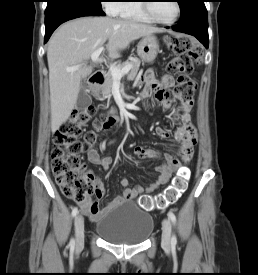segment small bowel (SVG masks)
I'll return each mask as SVG.
<instances>
[{
    "label": "small bowel",
    "mask_w": 258,
    "mask_h": 275,
    "mask_svg": "<svg viewBox=\"0 0 258 275\" xmlns=\"http://www.w3.org/2000/svg\"><path fill=\"white\" fill-rule=\"evenodd\" d=\"M144 83L145 85L141 92V96L146 98L153 90H157L158 94L162 95L166 89L173 86L174 79L170 75H164L161 81H158L154 70L150 69L144 74ZM158 99L164 108H169L170 102L165 97L161 96ZM192 104V100L184 102L180 105L176 112L175 117L178 118L181 123L176 129L175 139L180 144V147L175 156L171 154H164L161 157V163L155 168L158 173L156 180L145 188L140 185L131 188L129 187V181L123 178L121 180V185L124 187L122 195L114 197L103 209H100L98 204L93 202L91 199L78 202L82 212L92 220L100 219L106 212L114 207L125 202H131L139 195L153 192L168 183L172 177V174L180 166L181 162L190 157L196 144V132L190 116ZM156 132L161 137H166L168 135L167 131L162 127H157ZM134 154L139 159L160 157L156 150L143 146H136L134 148ZM87 157L90 163L100 165L104 170H108L112 163L110 157H101L98 151L94 148L93 144H91L87 149ZM94 187L95 195L97 198H101L105 193V189L99 177H95Z\"/></svg>",
    "instance_id": "small-bowel-1"
}]
</instances>
